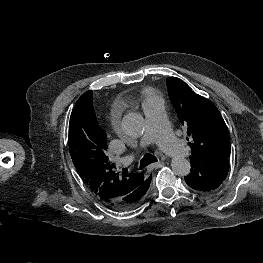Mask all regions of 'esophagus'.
Segmentation results:
<instances>
[{
  "label": "esophagus",
  "instance_id": "34e87169",
  "mask_svg": "<svg viewBox=\"0 0 263 263\" xmlns=\"http://www.w3.org/2000/svg\"><path fill=\"white\" fill-rule=\"evenodd\" d=\"M163 164H164L163 161H159V162H156V163H152V164H150V165L147 167V170H148V171H152V170H154V169H156V168L161 167Z\"/></svg>",
  "mask_w": 263,
  "mask_h": 263
}]
</instances>
